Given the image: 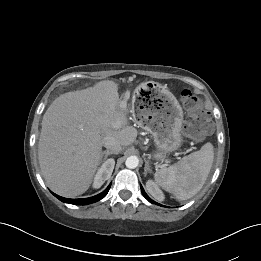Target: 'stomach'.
I'll return each mask as SVG.
<instances>
[{"instance_id": "obj_1", "label": "stomach", "mask_w": 261, "mask_h": 261, "mask_svg": "<svg viewBox=\"0 0 261 261\" xmlns=\"http://www.w3.org/2000/svg\"><path fill=\"white\" fill-rule=\"evenodd\" d=\"M144 89L147 97L143 101L135 100L133 115L136 123L154 139L156 151L153 157L156 160H164L183 142V110L166 86L149 82L145 84Z\"/></svg>"}]
</instances>
